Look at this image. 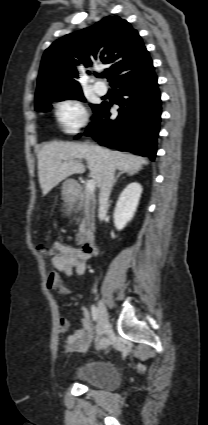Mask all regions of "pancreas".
Masks as SVG:
<instances>
[{
	"label": "pancreas",
	"mask_w": 208,
	"mask_h": 425,
	"mask_svg": "<svg viewBox=\"0 0 208 425\" xmlns=\"http://www.w3.org/2000/svg\"><path fill=\"white\" fill-rule=\"evenodd\" d=\"M84 210V218L79 225V233L77 234V244H82L84 241V235L91 231L94 224V209H95V198L94 196L85 191L81 197L80 209Z\"/></svg>",
	"instance_id": "obj_1"
}]
</instances>
